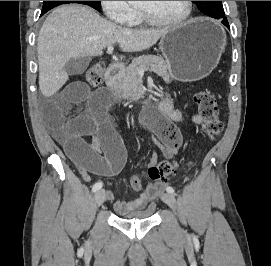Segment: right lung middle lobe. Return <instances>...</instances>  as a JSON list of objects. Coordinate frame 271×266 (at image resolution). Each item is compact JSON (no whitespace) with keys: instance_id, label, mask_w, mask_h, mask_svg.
<instances>
[{"instance_id":"obj_1","label":"right lung middle lobe","mask_w":271,"mask_h":266,"mask_svg":"<svg viewBox=\"0 0 271 266\" xmlns=\"http://www.w3.org/2000/svg\"><path fill=\"white\" fill-rule=\"evenodd\" d=\"M69 3H79L91 6L92 8L100 11L101 5L100 1H44L42 7V14L46 13L48 10L61 5V4H69Z\"/></svg>"}]
</instances>
